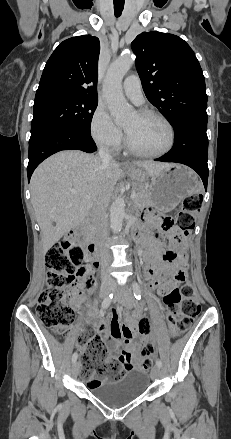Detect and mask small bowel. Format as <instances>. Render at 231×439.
I'll list each match as a JSON object with an SVG mask.
<instances>
[{"mask_svg":"<svg viewBox=\"0 0 231 439\" xmlns=\"http://www.w3.org/2000/svg\"><path fill=\"white\" fill-rule=\"evenodd\" d=\"M178 234V230L175 228L168 231V235L173 239H175V236ZM138 236H141L146 241L144 258L146 264L150 266L147 270L149 287L150 289H157L160 294H164L170 289L171 283L166 281L162 275H169L178 267V263H172L169 258L170 254L173 255V252L170 250V245L166 240L145 238L142 233H139ZM179 257H185L183 250L180 252ZM80 290L81 288L74 293V306H79L83 299ZM141 315L142 312L138 309L128 317L125 324H121L117 312L111 310L109 312L110 322L106 330L102 331L103 337L110 348V358L118 359L125 366L126 370L137 367L136 355L144 351L145 345L148 342L146 337H138L135 333L136 323ZM90 319L101 330L106 326V324L99 319L95 311L90 313ZM79 349L83 352L85 346L80 345ZM110 358L107 359L106 362L110 361ZM129 363L132 364V367H128Z\"/></svg>","mask_w":231,"mask_h":439,"instance_id":"1","label":"small bowel"}]
</instances>
